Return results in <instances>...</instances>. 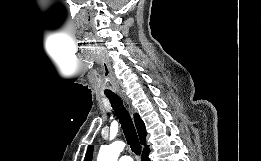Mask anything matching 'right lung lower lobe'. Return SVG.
I'll return each instance as SVG.
<instances>
[{
    "label": "right lung lower lobe",
    "mask_w": 261,
    "mask_h": 161,
    "mask_svg": "<svg viewBox=\"0 0 261 161\" xmlns=\"http://www.w3.org/2000/svg\"><path fill=\"white\" fill-rule=\"evenodd\" d=\"M150 151H146L142 153L141 161H150L148 154Z\"/></svg>",
    "instance_id": "98d812e1"
}]
</instances>
